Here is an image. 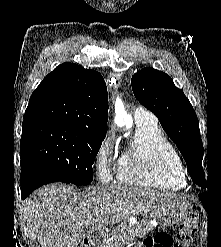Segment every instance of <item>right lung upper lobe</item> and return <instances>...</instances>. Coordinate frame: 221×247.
I'll return each mask as SVG.
<instances>
[{"instance_id": "right-lung-upper-lobe-1", "label": "right lung upper lobe", "mask_w": 221, "mask_h": 247, "mask_svg": "<svg viewBox=\"0 0 221 247\" xmlns=\"http://www.w3.org/2000/svg\"><path fill=\"white\" fill-rule=\"evenodd\" d=\"M107 121L108 95L101 74L63 63L32 93L22 129L65 125L106 136Z\"/></svg>"}]
</instances>
